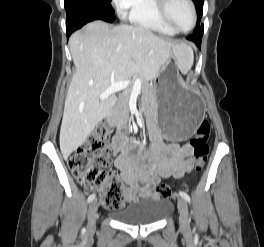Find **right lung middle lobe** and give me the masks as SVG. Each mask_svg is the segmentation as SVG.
<instances>
[{
  "label": "right lung middle lobe",
  "instance_id": "obj_1",
  "mask_svg": "<svg viewBox=\"0 0 264 247\" xmlns=\"http://www.w3.org/2000/svg\"><path fill=\"white\" fill-rule=\"evenodd\" d=\"M65 10L67 14L72 11H85L94 13L105 21L115 20L111 0H65Z\"/></svg>",
  "mask_w": 264,
  "mask_h": 247
}]
</instances>
